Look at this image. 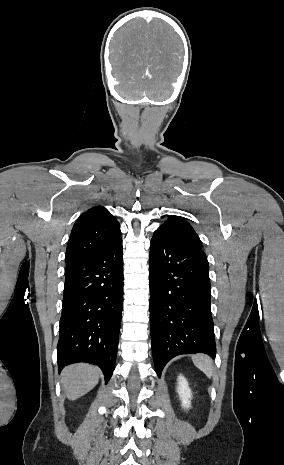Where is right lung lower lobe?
Segmentation results:
<instances>
[{"instance_id":"98d812e1","label":"right lung lower lobe","mask_w":284,"mask_h":465,"mask_svg":"<svg viewBox=\"0 0 284 465\" xmlns=\"http://www.w3.org/2000/svg\"><path fill=\"white\" fill-rule=\"evenodd\" d=\"M122 238L105 251L65 270L59 372L68 364L99 366L112 376L123 309Z\"/></svg>"}]
</instances>
